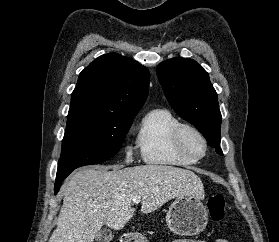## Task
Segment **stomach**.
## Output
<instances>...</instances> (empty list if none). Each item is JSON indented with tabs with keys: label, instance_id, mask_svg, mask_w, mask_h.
I'll return each mask as SVG.
<instances>
[{
	"label": "stomach",
	"instance_id": "stomach-1",
	"mask_svg": "<svg viewBox=\"0 0 279 242\" xmlns=\"http://www.w3.org/2000/svg\"><path fill=\"white\" fill-rule=\"evenodd\" d=\"M166 222L170 231L175 235L195 236L206 228L208 213L198 197L181 196L170 205ZM138 238L144 242V237L137 236L134 239Z\"/></svg>",
	"mask_w": 279,
	"mask_h": 242
}]
</instances>
